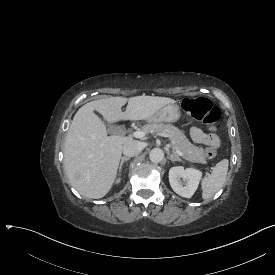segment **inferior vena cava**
<instances>
[{
  "instance_id": "inferior-vena-cava-1",
  "label": "inferior vena cava",
  "mask_w": 275,
  "mask_h": 275,
  "mask_svg": "<svg viewBox=\"0 0 275 275\" xmlns=\"http://www.w3.org/2000/svg\"><path fill=\"white\" fill-rule=\"evenodd\" d=\"M142 150V145L139 141L131 140L123 144V154L127 157H133L139 154Z\"/></svg>"
}]
</instances>
